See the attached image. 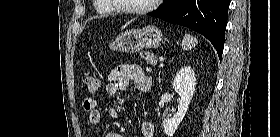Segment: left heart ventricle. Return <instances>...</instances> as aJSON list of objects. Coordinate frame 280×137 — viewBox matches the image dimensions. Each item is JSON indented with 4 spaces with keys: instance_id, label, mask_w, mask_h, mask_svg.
I'll return each instance as SVG.
<instances>
[{
    "instance_id": "b2bd125f",
    "label": "left heart ventricle",
    "mask_w": 280,
    "mask_h": 137,
    "mask_svg": "<svg viewBox=\"0 0 280 137\" xmlns=\"http://www.w3.org/2000/svg\"><path fill=\"white\" fill-rule=\"evenodd\" d=\"M123 6L124 7H132V8H137V7H143L147 6L148 4L151 3V0H123Z\"/></svg>"
}]
</instances>
